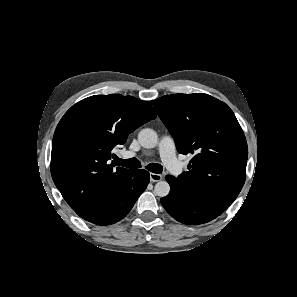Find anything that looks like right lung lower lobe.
Returning <instances> with one entry per match:
<instances>
[{"label":"right lung lower lobe","mask_w":297,"mask_h":297,"mask_svg":"<svg viewBox=\"0 0 297 297\" xmlns=\"http://www.w3.org/2000/svg\"><path fill=\"white\" fill-rule=\"evenodd\" d=\"M149 172L132 170L130 176L122 182L100 208L85 219L97 225H110L124 218L149 183Z\"/></svg>","instance_id":"1"}]
</instances>
